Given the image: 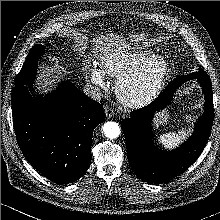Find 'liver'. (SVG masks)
<instances>
[{"mask_svg":"<svg viewBox=\"0 0 220 220\" xmlns=\"http://www.w3.org/2000/svg\"><path fill=\"white\" fill-rule=\"evenodd\" d=\"M79 45H83L87 43L85 41L86 37L80 36L78 38ZM96 42V48L95 52L100 51L104 55H111L113 52H118L121 53L125 49H129L130 43L126 41V39L118 34H106V35H101L99 38H96V40H93ZM41 70L38 74V79L37 81L40 83L42 87L49 88L52 87L55 83V79L59 74L61 73L60 67L55 64V65H49V66H40ZM64 68H62L63 70ZM53 73H57V76H55Z\"/></svg>","mask_w":220,"mask_h":220,"instance_id":"liver-1","label":"liver"}]
</instances>
